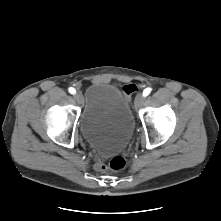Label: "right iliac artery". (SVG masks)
<instances>
[{
	"mask_svg": "<svg viewBox=\"0 0 221 221\" xmlns=\"http://www.w3.org/2000/svg\"><path fill=\"white\" fill-rule=\"evenodd\" d=\"M69 92H70L71 94H75L76 90H75L74 88L70 87V88H69Z\"/></svg>",
	"mask_w": 221,
	"mask_h": 221,
	"instance_id": "obj_1",
	"label": "right iliac artery"
}]
</instances>
